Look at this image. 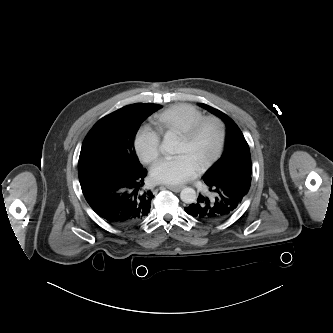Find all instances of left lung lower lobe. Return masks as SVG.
<instances>
[{
  "mask_svg": "<svg viewBox=\"0 0 333 333\" xmlns=\"http://www.w3.org/2000/svg\"><path fill=\"white\" fill-rule=\"evenodd\" d=\"M202 179L211 194H200L197 201L185 207V211L197 220L206 222H219L229 217L240 205L251 184L249 178L237 176L220 181L207 176Z\"/></svg>",
  "mask_w": 333,
  "mask_h": 333,
  "instance_id": "0a47b994",
  "label": "left lung lower lobe"
}]
</instances>
